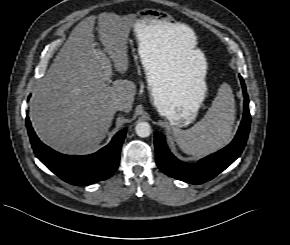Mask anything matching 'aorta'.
Returning a JSON list of instances; mask_svg holds the SVG:
<instances>
[{
  "instance_id": "1",
  "label": "aorta",
  "mask_w": 290,
  "mask_h": 245,
  "mask_svg": "<svg viewBox=\"0 0 290 245\" xmlns=\"http://www.w3.org/2000/svg\"><path fill=\"white\" fill-rule=\"evenodd\" d=\"M135 132L139 137H148L151 134V126L148 122H138L135 127Z\"/></svg>"
}]
</instances>
